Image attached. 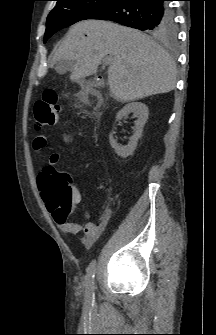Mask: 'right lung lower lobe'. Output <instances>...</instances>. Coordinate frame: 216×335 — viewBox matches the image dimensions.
Returning a JSON list of instances; mask_svg holds the SVG:
<instances>
[{
	"label": "right lung lower lobe",
	"instance_id": "right-lung-lower-lobe-1",
	"mask_svg": "<svg viewBox=\"0 0 216 335\" xmlns=\"http://www.w3.org/2000/svg\"><path fill=\"white\" fill-rule=\"evenodd\" d=\"M93 19L110 20L153 35L174 25L166 0H116Z\"/></svg>",
	"mask_w": 216,
	"mask_h": 335
}]
</instances>
